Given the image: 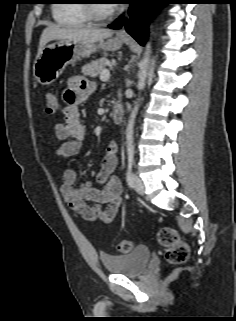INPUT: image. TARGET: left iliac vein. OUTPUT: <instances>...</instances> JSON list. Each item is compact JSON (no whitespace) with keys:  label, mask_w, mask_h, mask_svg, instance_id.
<instances>
[{"label":"left iliac vein","mask_w":236,"mask_h":321,"mask_svg":"<svg viewBox=\"0 0 236 321\" xmlns=\"http://www.w3.org/2000/svg\"><path fill=\"white\" fill-rule=\"evenodd\" d=\"M133 187L139 195H144L145 186L143 181L137 175L133 176Z\"/></svg>","instance_id":"left-iliac-vein-1"}]
</instances>
